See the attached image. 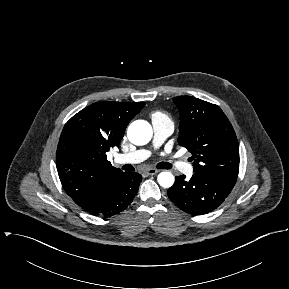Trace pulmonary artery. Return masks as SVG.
Instances as JSON below:
<instances>
[{
	"instance_id": "1",
	"label": "pulmonary artery",
	"mask_w": 289,
	"mask_h": 289,
	"mask_svg": "<svg viewBox=\"0 0 289 289\" xmlns=\"http://www.w3.org/2000/svg\"><path fill=\"white\" fill-rule=\"evenodd\" d=\"M152 124L154 132V147H158L172 134L173 124L163 121H153ZM149 155L150 151L142 149L127 154L117 155L115 161L117 163L136 164L147 159ZM170 164L173 168H176L186 174H191L193 171V167L190 164H187L181 160L171 161Z\"/></svg>"
}]
</instances>
